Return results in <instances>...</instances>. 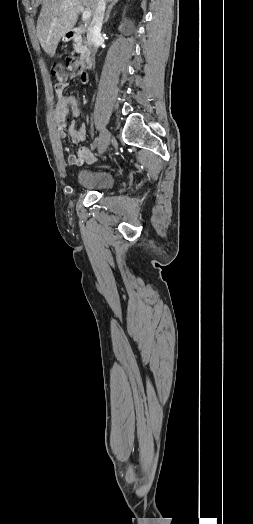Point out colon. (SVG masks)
Wrapping results in <instances>:
<instances>
[{
    "instance_id": "obj_1",
    "label": "colon",
    "mask_w": 253,
    "mask_h": 524,
    "mask_svg": "<svg viewBox=\"0 0 253 524\" xmlns=\"http://www.w3.org/2000/svg\"><path fill=\"white\" fill-rule=\"evenodd\" d=\"M51 73L55 77V89L63 90L70 79H77L79 85L86 86L89 78L86 70L81 68V63L77 60L75 53H64L62 63H55L51 67Z\"/></svg>"
}]
</instances>
